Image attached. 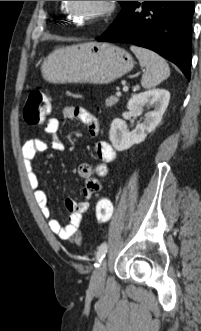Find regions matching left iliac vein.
Here are the masks:
<instances>
[{"instance_id":"obj_1","label":"left iliac vein","mask_w":201,"mask_h":331,"mask_svg":"<svg viewBox=\"0 0 201 331\" xmlns=\"http://www.w3.org/2000/svg\"><path fill=\"white\" fill-rule=\"evenodd\" d=\"M107 274L106 259L100 262V266L94 271L90 280V289L92 291L100 290L104 287Z\"/></svg>"}]
</instances>
